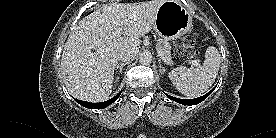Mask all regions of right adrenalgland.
I'll use <instances>...</instances> for the list:
<instances>
[{
	"label": "right adrenal gland",
	"mask_w": 276,
	"mask_h": 138,
	"mask_svg": "<svg viewBox=\"0 0 276 138\" xmlns=\"http://www.w3.org/2000/svg\"><path fill=\"white\" fill-rule=\"evenodd\" d=\"M129 63H121V64H118L117 66H116V69L118 70V69H120V73H122V69H123V67L125 66V65H128Z\"/></svg>",
	"instance_id": "2a0ac1e0"
}]
</instances>
